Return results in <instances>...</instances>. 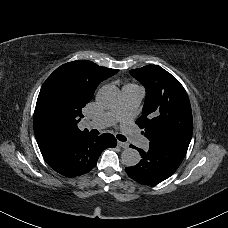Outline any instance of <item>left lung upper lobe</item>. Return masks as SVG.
Wrapping results in <instances>:
<instances>
[{"instance_id": "1", "label": "left lung upper lobe", "mask_w": 228, "mask_h": 228, "mask_svg": "<svg viewBox=\"0 0 228 228\" xmlns=\"http://www.w3.org/2000/svg\"><path fill=\"white\" fill-rule=\"evenodd\" d=\"M146 89L143 114L136 124L149 141H160L187 151L193 132L188 95L181 83L156 65L130 70Z\"/></svg>"}]
</instances>
